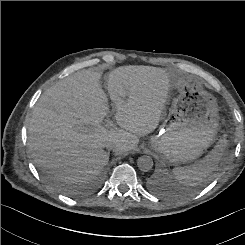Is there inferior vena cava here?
<instances>
[{
    "mask_svg": "<svg viewBox=\"0 0 245 245\" xmlns=\"http://www.w3.org/2000/svg\"><path fill=\"white\" fill-rule=\"evenodd\" d=\"M105 147L107 149H112V148H114V145L108 142V143H105Z\"/></svg>",
    "mask_w": 245,
    "mask_h": 245,
    "instance_id": "602c4592",
    "label": "inferior vena cava"
}]
</instances>
